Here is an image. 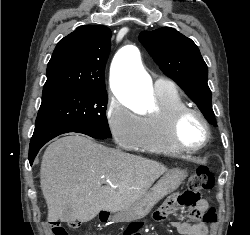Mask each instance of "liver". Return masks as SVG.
<instances>
[{
    "label": "liver",
    "instance_id": "obj_1",
    "mask_svg": "<svg viewBox=\"0 0 250 235\" xmlns=\"http://www.w3.org/2000/svg\"><path fill=\"white\" fill-rule=\"evenodd\" d=\"M164 165L108 148L79 134L55 140L45 150L40 184L48 221L88 222L100 211L127 210L165 172ZM106 182V185L102 184Z\"/></svg>",
    "mask_w": 250,
    "mask_h": 235
}]
</instances>
